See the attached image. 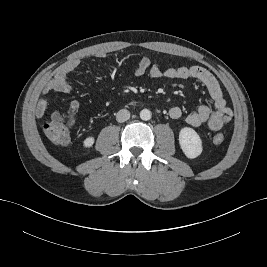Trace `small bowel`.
Returning a JSON list of instances; mask_svg holds the SVG:
<instances>
[{
	"label": "small bowel",
	"mask_w": 267,
	"mask_h": 267,
	"mask_svg": "<svg viewBox=\"0 0 267 267\" xmlns=\"http://www.w3.org/2000/svg\"><path fill=\"white\" fill-rule=\"evenodd\" d=\"M96 57L103 58L105 53L98 52ZM79 60H71L63 67L58 69L53 78L45 85L43 93L60 92L68 93L72 87L69 82V75L77 69ZM134 75L137 77L149 76L150 78H179L189 79L193 78L200 81L207 89L212 102L213 108L207 105L200 106L196 111L188 114L185 117V122L192 127H199L206 125L212 131L220 130L232 118V111L227 106L226 100L223 97L222 90L217 79L211 72L200 66H180L177 68L168 67L161 68L157 64H152L150 58L144 56L139 61L134 69ZM80 104L78 101L73 100L69 105V112L75 114L78 112ZM47 109V101L40 99L36 106V115L42 117ZM173 119L182 117V110L179 107H173L169 111Z\"/></svg>",
	"instance_id": "small-bowel-1"
}]
</instances>
